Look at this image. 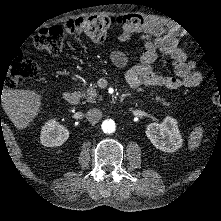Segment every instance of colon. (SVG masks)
I'll use <instances>...</instances> for the list:
<instances>
[{
	"label": "colon",
	"instance_id": "1",
	"mask_svg": "<svg viewBox=\"0 0 221 221\" xmlns=\"http://www.w3.org/2000/svg\"><path fill=\"white\" fill-rule=\"evenodd\" d=\"M144 24V18L136 14L118 17L94 15L70 19L61 25L40 30L34 46L52 55H57L64 47L68 36H85L97 43L103 41L115 27L136 30ZM37 74L38 69L33 61L20 58L11 64L6 84L8 87H16L25 80L33 79Z\"/></svg>",
	"mask_w": 221,
	"mask_h": 221
}]
</instances>
